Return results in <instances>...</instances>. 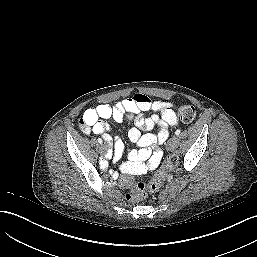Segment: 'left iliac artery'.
<instances>
[{"label":"left iliac artery","instance_id":"44dca946","mask_svg":"<svg viewBox=\"0 0 257 257\" xmlns=\"http://www.w3.org/2000/svg\"><path fill=\"white\" fill-rule=\"evenodd\" d=\"M180 133H181L180 129H177L176 132H175L176 135H179Z\"/></svg>","mask_w":257,"mask_h":257}]
</instances>
